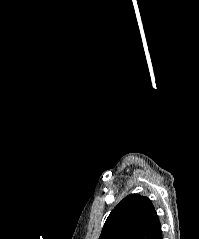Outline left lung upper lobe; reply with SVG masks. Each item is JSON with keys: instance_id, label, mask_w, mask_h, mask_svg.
Wrapping results in <instances>:
<instances>
[{"instance_id": "obj_1", "label": "left lung upper lobe", "mask_w": 199, "mask_h": 239, "mask_svg": "<svg viewBox=\"0 0 199 239\" xmlns=\"http://www.w3.org/2000/svg\"><path fill=\"white\" fill-rule=\"evenodd\" d=\"M159 228L149 198L130 194L109 214L99 239H154Z\"/></svg>"}]
</instances>
